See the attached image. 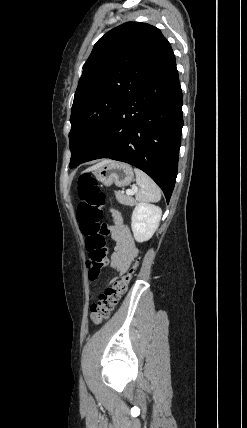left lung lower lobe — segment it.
I'll use <instances>...</instances> for the list:
<instances>
[{"mask_svg":"<svg viewBox=\"0 0 247 428\" xmlns=\"http://www.w3.org/2000/svg\"><path fill=\"white\" fill-rule=\"evenodd\" d=\"M182 126V90L173 54L123 101L81 163L99 158L129 163L147 173L169 202L177 176Z\"/></svg>","mask_w":247,"mask_h":428,"instance_id":"left-lung-lower-lobe-1","label":"left lung lower lobe"}]
</instances>
